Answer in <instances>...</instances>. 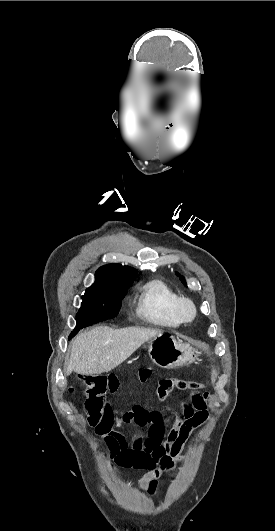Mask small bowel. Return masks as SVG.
<instances>
[{"mask_svg":"<svg viewBox=\"0 0 275 531\" xmlns=\"http://www.w3.org/2000/svg\"><path fill=\"white\" fill-rule=\"evenodd\" d=\"M151 374L150 368H140L138 380L146 384ZM130 380H135V377H130ZM122 382L121 375L108 376L107 383L112 391L107 392L108 399H105L103 403L105 416L118 414V409L113 407V400L109 398H113L114 392L120 390ZM197 394H200V391H197ZM210 400V395L204 393L202 398L184 403L180 411L171 412L170 416L160 411L134 407L116 417L109 424L99 427L98 433L108 448L117 447L125 450L121 458L127 467L145 470L144 477L135 484L137 488H142L151 480V473H156L159 478L164 470L172 467L173 460L185 458L182 451L187 437L192 430L209 420L208 402ZM125 428H129L130 443L124 432ZM143 428L147 430V438L141 431ZM154 438H159L160 443H152Z\"/></svg>","mask_w":275,"mask_h":531,"instance_id":"c3829d8e","label":"small bowel"}]
</instances>
